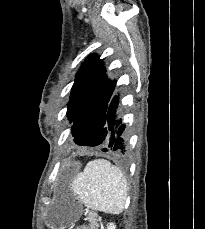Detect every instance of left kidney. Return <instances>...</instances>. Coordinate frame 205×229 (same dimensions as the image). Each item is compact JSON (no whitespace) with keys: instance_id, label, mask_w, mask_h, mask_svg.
<instances>
[{"instance_id":"5707ae66","label":"left kidney","mask_w":205,"mask_h":229,"mask_svg":"<svg viewBox=\"0 0 205 229\" xmlns=\"http://www.w3.org/2000/svg\"><path fill=\"white\" fill-rule=\"evenodd\" d=\"M107 229H116V225L114 223H108Z\"/></svg>"}]
</instances>
